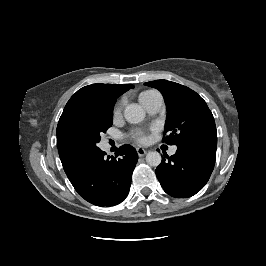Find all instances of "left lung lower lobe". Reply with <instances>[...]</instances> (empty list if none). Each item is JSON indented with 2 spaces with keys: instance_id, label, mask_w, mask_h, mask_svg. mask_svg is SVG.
<instances>
[{
  "instance_id": "1",
  "label": "left lung lower lobe",
  "mask_w": 266,
  "mask_h": 266,
  "mask_svg": "<svg viewBox=\"0 0 266 266\" xmlns=\"http://www.w3.org/2000/svg\"><path fill=\"white\" fill-rule=\"evenodd\" d=\"M216 148L217 144L181 145L171 157L164 155L156 168L164 191L176 198H187L199 192L214 169Z\"/></svg>"
}]
</instances>
